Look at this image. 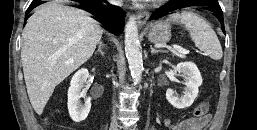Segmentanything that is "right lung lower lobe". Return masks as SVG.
Here are the masks:
<instances>
[{
    "instance_id": "obj_1",
    "label": "right lung lower lobe",
    "mask_w": 257,
    "mask_h": 130,
    "mask_svg": "<svg viewBox=\"0 0 257 130\" xmlns=\"http://www.w3.org/2000/svg\"><path fill=\"white\" fill-rule=\"evenodd\" d=\"M100 2H106L105 0H98L91 5H87L88 9H85L89 13L93 14L94 19L103 24V27L109 32L114 33L115 35H119L123 32L124 29V21L125 14L122 9L119 7L108 5L107 7L103 6ZM42 4L39 1L33 0L31 5L29 6L26 16L29 11L34 9L35 7Z\"/></svg>"
}]
</instances>
